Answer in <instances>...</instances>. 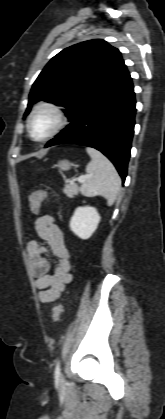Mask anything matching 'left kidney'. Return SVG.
<instances>
[{
	"label": "left kidney",
	"instance_id": "left-kidney-1",
	"mask_svg": "<svg viewBox=\"0 0 165 419\" xmlns=\"http://www.w3.org/2000/svg\"><path fill=\"white\" fill-rule=\"evenodd\" d=\"M100 215L94 207H78L70 220V229L81 239L92 236L100 222Z\"/></svg>",
	"mask_w": 165,
	"mask_h": 419
}]
</instances>
